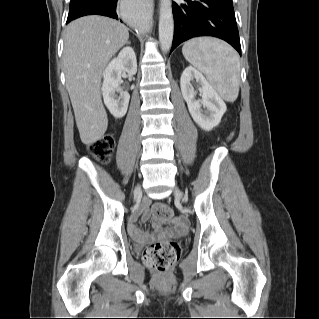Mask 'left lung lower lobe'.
<instances>
[{
    "mask_svg": "<svg viewBox=\"0 0 319 319\" xmlns=\"http://www.w3.org/2000/svg\"><path fill=\"white\" fill-rule=\"evenodd\" d=\"M173 3L174 36L171 52L182 42L198 36L225 40L241 55L233 4L220 0H184Z\"/></svg>",
    "mask_w": 319,
    "mask_h": 319,
    "instance_id": "1",
    "label": "left lung lower lobe"
}]
</instances>
